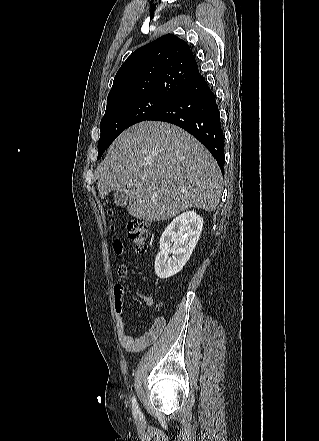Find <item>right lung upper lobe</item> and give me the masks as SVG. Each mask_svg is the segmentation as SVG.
Wrapping results in <instances>:
<instances>
[{
    "mask_svg": "<svg viewBox=\"0 0 319 441\" xmlns=\"http://www.w3.org/2000/svg\"><path fill=\"white\" fill-rule=\"evenodd\" d=\"M199 76L188 44L173 34L164 35L137 49L122 64L108 94L106 109L145 96L172 100Z\"/></svg>",
    "mask_w": 319,
    "mask_h": 441,
    "instance_id": "obj_1",
    "label": "right lung upper lobe"
}]
</instances>
